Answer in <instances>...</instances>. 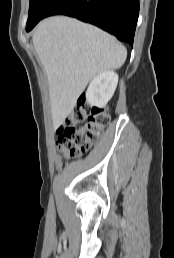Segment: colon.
<instances>
[{"label": "colon", "instance_id": "colon-1", "mask_svg": "<svg viewBox=\"0 0 174 258\" xmlns=\"http://www.w3.org/2000/svg\"><path fill=\"white\" fill-rule=\"evenodd\" d=\"M109 121L106 109L89 107L81 96L57 131V147L68 158L80 157L97 142Z\"/></svg>", "mask_w": 174, "mask_h": 258}]
</instances>
